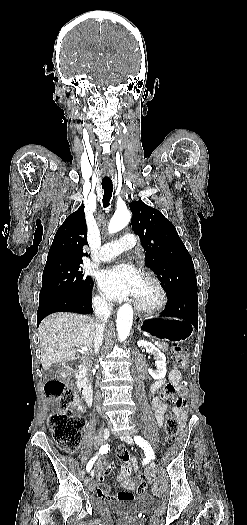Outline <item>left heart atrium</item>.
<instances>
[{
    "label": "left heart atrium",
    "instance_id": "39dd6f15",
    "mask_svg": "<svg viewBox=\"0 0 247 525\" xmlns=\"http://www.w3.org/2000/svg\"><path fill=\"white\" fill-rule=\"evenodd\" d=\"M99 279L102 287L116 299L136 297L141 289L140 277L135 268L120 270L116 265L103 270Z\"/></svg>",
    "mask_w": 247,
    "mask_h": 525
}]
</instances>
